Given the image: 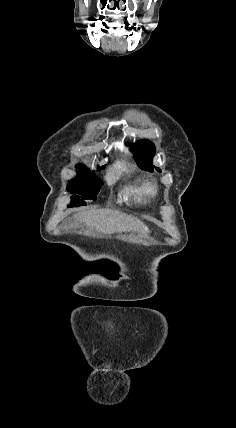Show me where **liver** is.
I'll return each instance as SVG.
<instances>
[{
    "label": "liver",
    "mask_w": 236,
    "mask_h": 428,
    "mask_svg": "<svg viewBox=\"0 0 236 428\" xmlns=\"http://www.w3.org/2000/svg\"><path fill=\"white\" fill-rule=\"evenodd\" d=\"M79 222H84L86 226L101 230L105 234H114V232H141V234H150L149 228L132 216L113 212V210H87L76 214Z\"/></svg>",
    "instance_id": "liver-1"
}]
</instances>
